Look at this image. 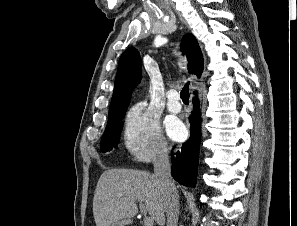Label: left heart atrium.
Masks as SVG:
<instances>
[{
    "label": "left heart atrium",
    "mask_w": 297,
    "mask_h": 226,
    "mask_svg": "<svg viewBox=\"0 0 297 226\" xmlns=\"http://www.w3.org/2000/svg\"><path fill=\"white\" fill-rule=\"evenodd\" d=\"M166 129L169 136L177 141H181L186 136V128L182 124V122L174 117L169 118L166 121Z\"/></svg>",
    "instance_id": "left-heart-atrium-1"
}]
</instances>
